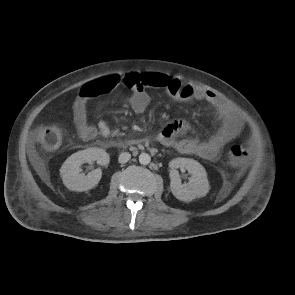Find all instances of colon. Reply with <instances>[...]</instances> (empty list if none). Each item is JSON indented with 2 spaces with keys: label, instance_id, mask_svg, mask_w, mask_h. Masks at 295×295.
I'll use <instances>...</instances> for the list:
<instances>
[{
  "label": "colon",
  "instance_id": "colon-1",
  "mask_svg": "<svg viewBox=\"0 0 295 295\" xmlns=\"http://www.w3.org/2000/svg\"><path fill=\"white\" fill-rule=\"evenodd\" d=\"M121 81L129 89L140 86L139 78L134 74L123 76ZM38 139L45 149L52 151L61 145L62 133L57 127L47 126L39 130ZM229 157L233 164H242L249 157V150L241 143L232 142L229 145Z\"/></svg>",
  "mask_w": 295,
  "mask_h": 295
}]
</instances>
